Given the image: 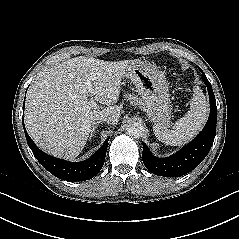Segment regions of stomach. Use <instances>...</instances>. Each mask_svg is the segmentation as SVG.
<instances>
[{"label": "stomach", "mask_w": 239, "mask_h": 239, "mask_svg": "<svg viewBox=\"0 0 239 239\" xmlns=\"http://www.w3.org/2000/svg\"><path fill=\"white\" fill-rule=\"evenodd\" d=\"M136 86L139 105L155 126L165 128L171 118L172 108L168 84L163 73L145 61H132L125 75Z\"/></svg>", "instance_id": "obj_1"}]
</instances>
